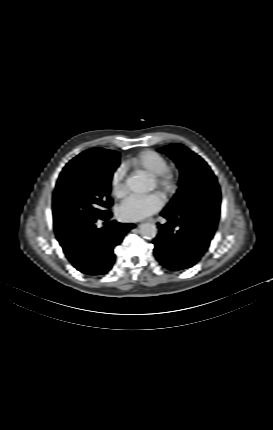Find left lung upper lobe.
I'll return each instance as SVG.
<instances>
[{"label":"left lung upper lobe","instance_id":"obj_1","mask_svg":"<svg viewBox=\"0 0 273 430\" xmlns=\"http://www.w3.org/2000/svg\"><path fill=\"white\" fill-rule=\"evenodd\" d=\"M170 156L180 169L179 189L165 208L177 216L189 215L203 197L221 199L217 179L207 163L196 153L181 144H170L159 149Z\"/></svg>","mask_w":273,"mask_h":430}]
</instances>
